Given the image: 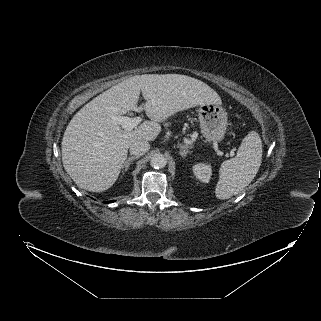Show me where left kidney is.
I'll return each instance as SVG.
<instances>
[{
    "instance_id": "obj_1",
    "label": "left kidney",
    "mask_w": 321,
    "mask_h": 321,
    "mask_svg": "<svg viewBox=\"0 0 321 321\" xmlns=\"http://www.w3.org/2000/svg\"><path fill=\"white\" fill-rule=\"evenodd\" d=\"M196 178L201 182L208 183L212 175V169L209 164L198 163L192 168Z\"/></svg>"
}]
</instances>
